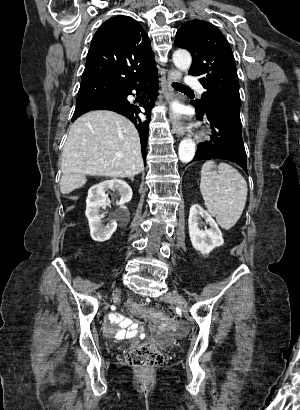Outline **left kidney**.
Here are the masks:
<instances>
[{
	"instance_id": "5707ae66",
	"label": "left kidney",
	"mask_w": 300,
	"mask_h": 410,
	"mask_svg": "<svg viewBox=\"0 0 300 410\" xmlns=\"http://www.w3.org/2000/svg\"><path fill=\"white\" fill-rule=\"evenodd\" d=\"M201 218L209 224V229H200L199 220ZM188 225L192 246L202 254H209L214 248L224 244L222 233L217 223L200 205L194 204L191 206Z\"/></svg>"
}]
</instances>
